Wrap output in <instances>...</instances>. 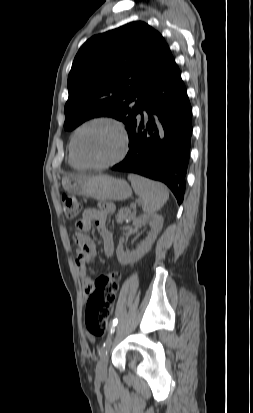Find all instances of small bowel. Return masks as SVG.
<instances>
[{
	"label": "small bowel",
	"instance_id": "small-bowel-1",
	"mask_svg": "<svg viewBox=\"0 0 253 413\" xmlns=\"http://www.w3.org/2000/svg\"><path fill=\"white\" fill-rule=\"evenodd\" d=\"M114 211V205L108 202L100 204L99 208L86 209L81 219L77 222V231L74 234L76 265L83 285L84 295H89L94 287V282L88 274V267L96 259L94 242L86 234L95 225L102 238V251L110 257L114 252V239L107 228L109 215Z\"/></svg>",
	"mask_w": 253,
	"mask_h": 413
}]
</instances>
